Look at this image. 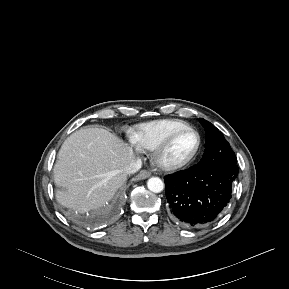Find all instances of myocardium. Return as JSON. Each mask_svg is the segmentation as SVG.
Returning a JSON list of instances; mask_svg holds the SVG:
<instances>
[{
    "label": "myocardium",
    "mask_w": 289,
    "mask_h": 289,
    "mask_svg": "<svg viewBox=\"0 0 289 289\" xmlns=\"http://www.w3.org/2000/svg\"><path fill=\"white\" fill-rule=\"evenodd\" d=\"M188 132L194 133L197 136V145H196L194 151L184 159L176 160V161L167 160L166 159V153H167L168 149L170 148V146L172 145V143L180 135H182L184 133H188ZM201 146H202V138H201L200 133L196 129L191 128V127H187V128L177 130V131L173 132L172 134H170L161 144H159L154 149V153L152 156L153 164L159 170L167 171V172L181 169V168L189 165L197 157V155L201 149Z\"/></svg>",
    "instance_id": "1"
}]
</instances>
